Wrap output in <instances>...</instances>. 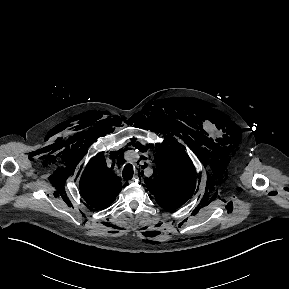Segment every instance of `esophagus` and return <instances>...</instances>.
Wrapping results in <instances>:
<instances>
[{"mask_svg":"<svg viewBox=\"0 0 289 289\" xmlns=\"http://www.w3.org/2000/svg\"><path fill=\"white\" fill-rule=\"evenodd\" d=\"M132 181H136V182H138V181H139V177H138V174H137V175H135V176L133 177Z\"/></svg>","mask_w":289,"mask_h":289,"instance_id":"34e87169","label":"esophagus"}]
</instances>
